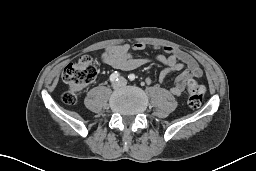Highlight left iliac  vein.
I'll return each instance as SVG.
<instances>
[{
  "label": "left iliac vein",
  "mask_w": 256,
  "mask_h": 171,
  "mask_svg": "<svg viewBox=\"0 0 256 171\" xmlns=\"http://www.w3.org/2000/svg\"><path fill=\"white\" fill-rule=\"evenodd\" d=\"M119 82L121 83V86H125L127 84V80L125 78H120Z\"/></svg>",
  "instance_id": "obj_1"
}]
</instances>
